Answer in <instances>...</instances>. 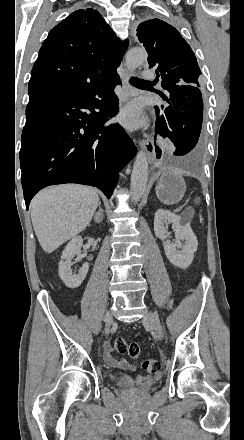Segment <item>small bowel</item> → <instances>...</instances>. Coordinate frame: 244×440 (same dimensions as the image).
Masks as SVG:
<instances>
[{"mask_svg":"<svg viewBox=\"0 0 244 440\" xmlns=\"http://www.w3.org/2000/svg\"><path fill=\"white\" fill-rule=\"evenodd\" d=\"M104 359H105V361L110 366H112L114 368H118V369L123 370V371H127V370H132L133 369L132 365L128 361H126V360L117 361L113 357V355L111 353V348L110 347H108L106 349V351L104 352Z\"/></svg>","mask_w":244,"mask_h":440,"instance_id":"1","label":"small bowel"}]
</instances>
